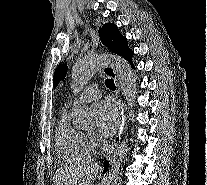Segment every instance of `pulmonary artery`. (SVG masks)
<instances>
[{
    "instance_id": "1",
    "label": "pulmonary artery",
    "mask_w": 207,
    "mask_h": 185,
    "mask_svg": "<svg viewBox=\"0 0 207 185\" xmlns=\"http://www.w3.org/2000/svg\"><path fill=\"white\" fill-rule=\"evenodd\" d=\"M94 86H85L84 90L85 93H82L80 95V100L84 101V102H89V101H93L97 98L100 97L101 92L99 89L95 88Z\"/></svg>"
}]
</instances>
